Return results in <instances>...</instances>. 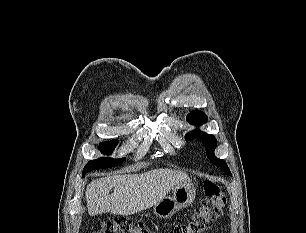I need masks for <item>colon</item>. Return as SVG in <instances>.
Wrapping results in <instances>:
<instances>
[{
    "mask_svg": "<svg viewBox=\"0 0 306 233\" xmlns=\"http://www.w3.org/2000/svg\"><path fill=\"white\" fill-rule=\"evenodd\" d=\"M205 197L200 207L185 223L176 225L170 233H202L211 228L222 215L226 198L221 187L212 181L203 184ZM93 233H149L143 222L133 223L124 218L103 222Z\"/></svg>",
    "mask_w": 306,
    "mask_h": 233,
    "instance_id": "colon-1",
    "label": "colon"
}]
</instances>
